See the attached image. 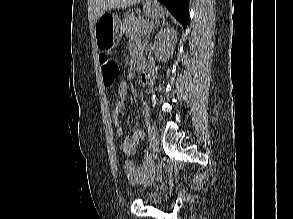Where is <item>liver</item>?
Instances as JSON below:
<instances>
[{
    "mask_svg": "<svg viewBox=\"0 0 293 219\" xmlns=\"http://www.w3.org/2000/svg\"><path fill=\"white\" fill-rule=\"evenodd\" d=\"M141 1L142 0H94L93 19L96 22L108 10L127 8Z\"/></svg>",
    "mask_w": 293,
    "mask_h": 219,
    "instance_id": "6515ba94",
    "label": "liver"
}]
</instances>
